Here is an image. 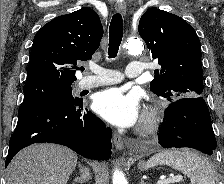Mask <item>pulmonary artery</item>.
I'll use <instances>...</instances> for the list:
<instances>
[{"label": "pulmonary artery", "instance_id": "obj_1", "mask_svg": "<svg viewBox=\"0 0 224 184\" xmlns=\"http://www.w3.org/2000/svg\"><path fill=\"white\" fill-rule=\"evenodd\" d=\"M90 70L94 72L96 75L83 77L78 82L79 89L83 90L103 85L114 84L124 79V76L121 75L119 72L105 69L97 65L91 66ZM142 71L143 67L140 62L131 61L127 66L125 76L128 78L139 77L142 74Z\"/></svg>", "mask_w": 224, "mask_h": 184}]
</instances>
